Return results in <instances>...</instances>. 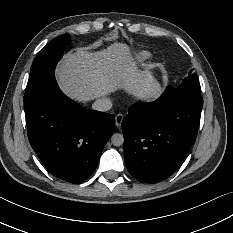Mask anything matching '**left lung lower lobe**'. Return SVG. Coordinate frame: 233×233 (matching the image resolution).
Here are the masks:
<instances>
[{
	"instance_id": "0a47b994",
	"label": "left lung lower lobe",
	"mask_w": 233,
	"mask_h": 233,
	"mask_svg": "<svg viewBox=\"0 0 233 233\" xmlns=\"http://www.w3.org/2000/svg\"><path fill=\"white\" fill-rule=\"evenodd\" d=\"M201 96L165 92L154 102H137L124 117V159L129 173L157 183L179 167L197 137Z\"/></svg>"
}]
</instances>
